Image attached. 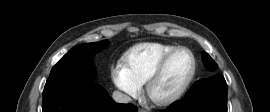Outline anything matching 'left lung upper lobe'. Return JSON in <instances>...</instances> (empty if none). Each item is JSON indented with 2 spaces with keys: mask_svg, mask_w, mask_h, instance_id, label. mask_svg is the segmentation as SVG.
Listing matches in <instances>:
<instances>
[{
  "mask_svg": "<svg viewBox=\"0 0 270 112\" xmlns=\"http://www.w3.org/2000/svg\"><path fill=\"white\" fill-rule=\"evenodd\" d=\"M202 60H203L204 65L206 66V68H207L209 71H214V70H216V69L218 68L217 64H216L215 61L210 57V55H209L208 53L204 52V53L202 54ZM206 80H207V79H203V80L198 81V82L194 85V87H193L192 89L196 88L197 86H199L200 84H202V83H203L204 81H206Z\"/></svg>",
  "mask_w": 270,
  "mask_h": 112,
  "instance_id": "obj_1",
  "label": "left lung upper lobe"
}]
</instances>
